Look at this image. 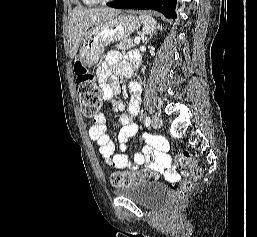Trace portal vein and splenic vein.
<instances>
[{
  "label": "portal vein and splenic vein",
  "instance_id": "1",
  "mask_svg": "<svg viewBox=\"0 0 257 237\" xmlns=\"http://www.w3.org/2000/svg\"><path fill=\"white\" fill-rule=\"evenodd\" d=\"M134 42H135V44H139V43H140V38H139V37H136V38L134 39Z\"/></svg>",
  "mask_w": 257,
  "mask_h": 237
}]
</instances>
